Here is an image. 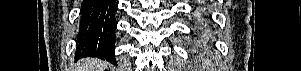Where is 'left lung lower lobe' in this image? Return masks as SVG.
I'll return each mask as SVG.
<instances>
[{
    "label": "left lung lower lobe",
    "mask_w": 301,
    "mask_h": 71,
    "mask_svg": "<svg viewBox=\"0 0 301 71\" xmlns=\"http://www.w3.org/2000/svg\"><path fill=\"white\" fill-rule=\"evenodd\" d=\"M204 33H205L204 28L202 30H199V35L201 36L202 39H204V37H205Z\"/></svg>",
    "instance_id": "left-lung-lower-lobe-1"
}]
</instances>
